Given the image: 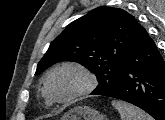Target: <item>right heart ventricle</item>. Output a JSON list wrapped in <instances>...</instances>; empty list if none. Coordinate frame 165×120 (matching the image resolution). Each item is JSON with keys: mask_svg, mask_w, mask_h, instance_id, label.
Returning <instances> with one entry per match:
<instances>
[{"mask_svg": "<svg viewBox=\"0 0 165 120\" xmlns=\"http://www.w3.org/2000/svg\"><path fill=\"white\" fill-rule=\"evenodd\" d=\"M43 95H44V98H45L46 102H50V99H49L48 96L46 95L44 89H43Z\"/></svg>", "mask_w": 165, "mask_h": 120, "instance_id": "1", "label": "right heart ventricle"}]
</instances>
